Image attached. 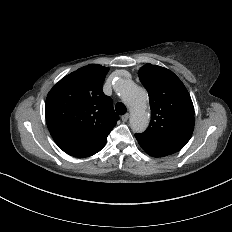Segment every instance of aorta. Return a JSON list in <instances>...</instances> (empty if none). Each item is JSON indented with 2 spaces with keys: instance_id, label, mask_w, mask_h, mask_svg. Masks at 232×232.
<instances>
[{
  "instance_id": "aorta-1",
  "label": "aorta",
  "mask_w": 232,
  "mask_h": 232,
  "mask_svg": "<svg viewBox=\"0 0 232 232\" xmlns=\"http://www.w3.org/2000/svg\"><path fill=\"white\" fill-rule=\"evenodd\" d=\"M115 91L130 109V127L134 132H143L149 124L147 92L129 79L119 78L114 83Z\"/></svg>"
}]
</instances>
